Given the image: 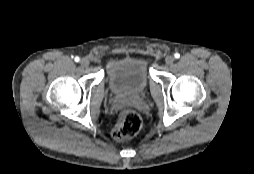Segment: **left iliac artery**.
Wrapping results in <instances>:
<instances>
[{
  "label": "left iliac artery",
  "mask_w": 254,
  "mask_h": 174,
  "mask_svg": "<svg viewBox=\"0 0 254 174\" xmlns=\"http://www.w3.org/2000/svg\"><path fill=\"white\" fill-rule=\"evenodd\" d=\"M174 56H175V58H179L180 54L179 53H175Z\"/></svg>",
  "instance_id": "44dca946"
}]
</instances>
